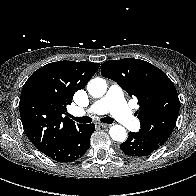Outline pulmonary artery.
I'll use <instances>...</instances> for the list:
<instances>
[{"instance_id":"e3ab8cb5","label":"pulmonary artery","mask_w":196,"mask_h":196,"mask_svg":"<svg viewBox=\"0 0 196 196\" xmlns=\"http://www.w3.org/2000/svg\"><path fill=\"white\" fill-rule=\"evenodd\" d=\"M110 112L112 116L128 129L136 130L138 121L128 108L122 90L112 86L107 94L86 109L80 110L77 115H103Z\"/></svg>"}]
</instances>
